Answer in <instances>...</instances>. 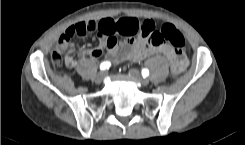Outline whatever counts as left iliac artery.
Listing matches in <instances>:
<instances>
[{
  "label": "left iliac artery",
  "mask_w": 245,
  "mask_h": 145,
  "mask_svg": "<svg viewBox=\"0 0 245 145\" xmlns=\"http://www.w3.org/2000/svg\"><path fill=\"white\" fill-rule=\"evenodd\" d=\"M149 75V70L148 69H143L142 70V76L145 78Z\"/></svg>",
  "instance_id": "left-iliac-artery-1"
}]
</instances>
